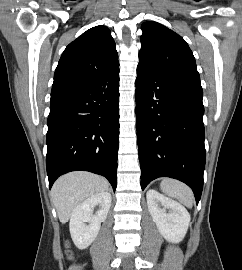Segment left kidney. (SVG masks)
<instances>
[{
  "label": "left kidney",
  "mask_w": 242,
  "mask_h": 270,
  "mask_svg": "<svg viewBox=\"0 0 242 270\" xmlns=\"http://www.w3.org/2000/svg\"><path fill=\"white\" fill-rule=\"evenodd\" d=\"M146 198L148 210L160 234L172 243L181 242L190 223L185 207L153 189L147 191Z\"/></svg>",
  "instance_id": "1"
}]
</instances>
